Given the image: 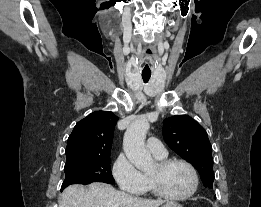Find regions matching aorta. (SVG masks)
<instances>
[{"instance_id":"obj_1","label":"aorta","mask_w":261,"mask_h":207,"mask_svg":"<svg viewBox=\"0 0 261 207\" xmlns=\"http://www.w3.org/2000/svg\"><path fill=\"white\" fill-rule=\"evenodd\" d=\"M149 128L147 120H136L127 128L123 138V149L127 158L141 171H146L154 165L153 158L145 148Z\"/></svg>"}]
</instances>
